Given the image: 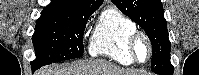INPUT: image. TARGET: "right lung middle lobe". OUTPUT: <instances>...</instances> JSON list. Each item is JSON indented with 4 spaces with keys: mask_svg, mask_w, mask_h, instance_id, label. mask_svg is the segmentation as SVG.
<instances>
[{
    "mask_svg": "<svg viewBox=\"0 0 199 75\" xmlns=\"http://www.w3.org/2000/svg\"><path fill=\"white\" fill-rule=\"evenodd\" d=\"M89 19V15L44 9L32 36L36 55L32 67L39 69L43 65L82 57L83 34Z\"/></svg>",
    "mask_w": 199,
    "mask_h": 75,
    "instance_id": "obj_1",
    "label": "right lung middle lobe"
}]
</instances>
